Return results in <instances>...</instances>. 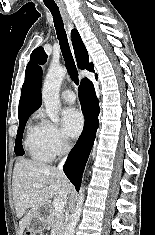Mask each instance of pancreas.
<instances>
[{
	"instance_id": "obj_1",
	"label": "pancreas",
	"mask_w": 155,
	"mask_h": 235,
	"mask_svg": "<svg viewBox=\"0 0 155 235\" xmlns=\"http://www.w3.org/2000/svg\"><path fill=\"white\" fill-rule=\"evenodd\" d=\"M47 224L53 228L56 235H62V229L64 228L63 214L58 213L54 208H51L50 214L47 218Z\"/></svg>"
}]
</instances>
